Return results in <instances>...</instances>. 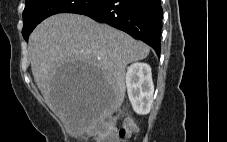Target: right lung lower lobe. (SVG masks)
<instances>
[{"label": "right lung lower lobe", "mask_w": 227, "mask_h": 142, "mask_svg": "<svg viewBox=\"0 0 227 142\" xmlns=\"http://www.w3.org/2000/svg\"><path fill=\"white\" fill-rule=\"evenodd\" d=\"M78 14L118 28L144 41L160 54L163 16L160 0H106L102 5Z\"/></svg>", "instance_id": "right-lung-lower-lobe-1"}]
</instances>
